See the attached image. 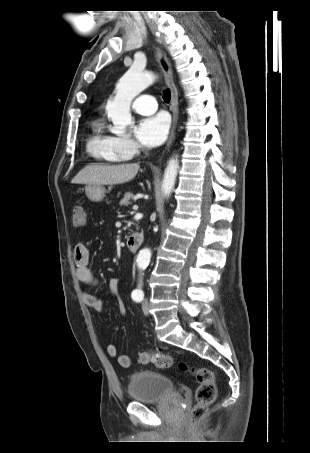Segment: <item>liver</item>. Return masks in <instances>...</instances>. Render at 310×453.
Wrapping results in <instances>:
<instances>
[{
    "label": "liver",
    "instance_id": "1",
    "mask_svg": "<svg viewBox=\"0 0 310 453\" xmlns=\"http://www.w3.org/2000/svg\"><path fill=\"white\" fill-rule=\"evenodd\" d=\"M140 165L137 163L103 165L89 164L71 180L73 184L113 185L123 184L135 178Z\"/></svg>",
    "mask_w": 310,
    "mask_h": 453
}]
</instances>
